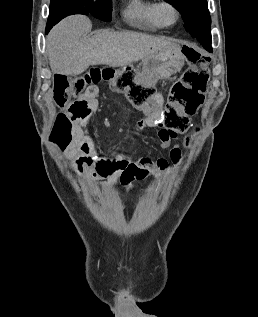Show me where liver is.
<instances>
[{"mask_svg": "<svg viewBox=\"0 0 258 317\" xmlns=\"http://www.w3.org/2000/svg\"><path fill=\"white\" fill-rule=\"evenodd\" d=\"M92 22L84 14L66 16L47 34V52L53 72L82 74L90 64L125 66L158 50L178 46L175 38L152 36L143 32L96 30L86 38Z\"/></svg>", "mask_w": 258, "mask_h": 317, "instance_id": "1", "label": "liver"}]
</instances>
